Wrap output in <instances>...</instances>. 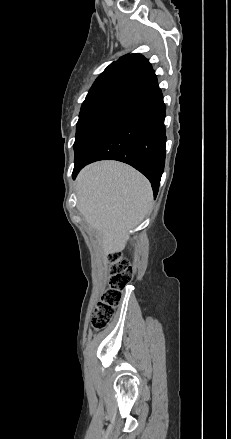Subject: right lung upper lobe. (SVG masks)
I'll return each mask as SVG.
<instances>
[{"mask_svg":"<svg viewBox=\"0 0 231 439\" xmlns=\"http://www.w3.org/2000/svg\"><path fill=\"white\" fill-rule=\"evenodd\" d=\"M157 83L149 61L134 53L111 63L96 79L83 104L117 95H136Z\"/></svg>","mask_w":231,"mask_h":439,"instance_id":"cb5924a9","label":"right lung upper lobe"}]
</instances>
